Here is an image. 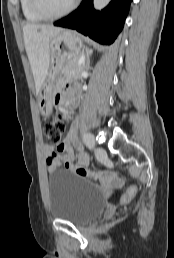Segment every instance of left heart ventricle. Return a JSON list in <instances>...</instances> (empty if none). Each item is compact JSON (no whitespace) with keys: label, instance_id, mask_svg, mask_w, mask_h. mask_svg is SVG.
<instances>
[{"label":"left heart ventricle","instance_id":"1","mask_svg":"<svg viewBox=\"0 0 174 258\" xmlns=\"http://www.w3.org/2000/svg\"><path fill=\"white\" fill-rule=\"evenodd\" d=\"M73 0H43L44 6L52 13L66 9Z\"/></svg>","mask_w":174,"mask_h":258}]
</instances>
